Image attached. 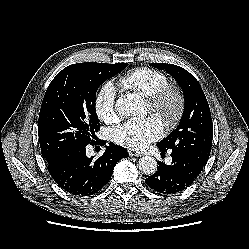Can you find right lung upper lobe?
Here are the masks:
<instances>
[{
  "label": "right lung upper lobe",
  "instance_id": "right-lung-upper-lobe-1",
  "mask_svg": "<svg viewBox=\"0 0 249 249\" xmlns=\"http://www.w3.org/2000/svg\"><path fill=\"white\" fill-rule=\"evenodd\" d=\"M57 159H58V158H52V159H48V160H46V161H47L48 164H49V163L55 162Z\"/></svg>",
  "mask_w": 249,
  "mask_h": 249
}]
</instances>
